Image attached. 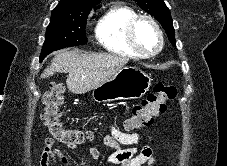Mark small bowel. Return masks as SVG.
Wrapping results in <instances>:
<instances>
[{
    "instance_id": "obj_1",
    "label": "small bowel",
    "mask_w": 227,
    "mask_h": 166,
    "mask_svg": "<svg viewBox=\"0 0 227 166\" xmlns=\"http://www.w3.org/2000/svg\"><path fill=\"white\" fill-rule=\"evenodd\" d=\"M143 140L151 141V137L140 133H123L115 125L110 126V134L104 138V144L113 150L106 157L110 166H152L155 162L153 149L145 145L139 149L137 144ZM122 146H128L124 149ZM76 147L73 146L72 149ZM89 153L96 161L101 159L100 151L95 147L89 148ZM69 166L70 159L55 147V142L48 137L44 141L40 156V166Z\"/></svg>"
}]
</instances>
